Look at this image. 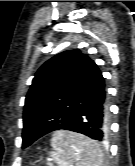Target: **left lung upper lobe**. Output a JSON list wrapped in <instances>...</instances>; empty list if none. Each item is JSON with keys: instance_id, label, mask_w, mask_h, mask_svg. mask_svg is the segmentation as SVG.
I'll use <instances>...</instances> for the list:
<instances>
[{"instance_id": "1", "label": "left lung upper lobe", "mask_w": 135, "mask_h": 166, "mask_svg": "<svg viewBox=\"0 0 135 166\" xmlns=\"http://www.w3.org/2000/svg\"><path fill=\"white\" fill-rule=\"evenodd\" d=\"M89 61L87 55L75 49L45 62L35 74L26 96L23 122L52 120L65 107L70 91Z\"/></svg>"}]
</instances>
